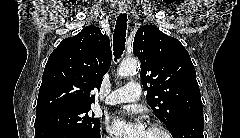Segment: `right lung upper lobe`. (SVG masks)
Listing matches in <instances>:
<instances>
[{"label": "right lung upper lobe", "instance_id": "right-lung-upper-lobe-1", "mask_svg": "<svg viewBox=\"0 0 240 138\" xmlns=\"http://www.w3.org/2000/svg\"><path fill=\"white\" fill-rule=\"evenodd\" d=\"M111 65L108 36L96 26L65 38L46 63L39 90L36 115L63 108L91 107L94 88L100 89Z\"/></svg>", "mask_w": 240, "mask_h": 138}]
</instances>
